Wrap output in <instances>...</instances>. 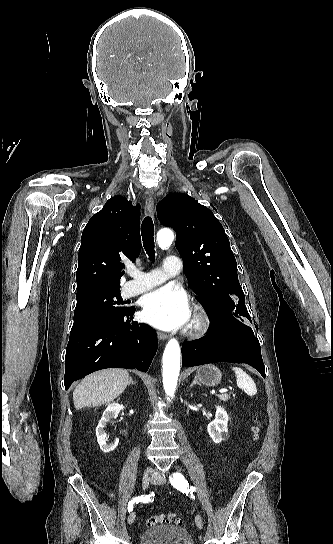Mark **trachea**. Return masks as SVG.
<instances>
[{
    "label": "trachea",
    "mask_w": 333,
    "mask_h": 544,
    "mask_svg": "<svg viewBox=\"0 0 333 544\" xmlns=\"http://www.w3.org/2000/svg\"><path fill=\"white\" fill-rule=\"evenodd\" d=\"M141 235L145 251L150 260L155 258L154 225L151 217H146L141 225Z\"/></svg>",
    "instance_id": "obj_1"
}]
</instances>
